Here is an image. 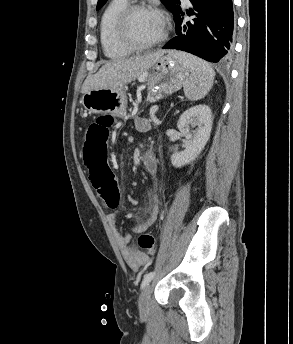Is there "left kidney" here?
I'll return each mask as SVG.
<instances>
[{
    "label": "left kidney",
    "mask_w": 293,
    "mask_h": 344,
    "mask_svg": "<svg viewBox=\"0 0 293 344\" xmlns=\"http://www.w3.org/2000/svg\"><path fill=\"white\" fill-rule=\"evenodd\" d=\"M212 123V112L207 105H196L183 112L177 127L185 136L187 145L184 151L175 152L171 156L173 166L182 167L198 157L210 138Z\"/></svg>",
    "instance_id": "obj_1"
}]
</instances>
